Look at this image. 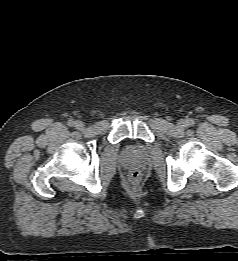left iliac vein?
<instances>
[{"mask_svg":"<svg viewBox=\"0 0 238 261\" xmlns=\"http://www.w3.org/2000/svg\"><path fill=\"white\" fill-rule=\"evenodd\" d=\"M186 125H187V122L183 119L178 122V127L181 129L185 128Z\"/></svg>","mask_w":238,"mask_h":261,"instance_id":"obj_1","label":"left iliac vein"}]
</instances>
